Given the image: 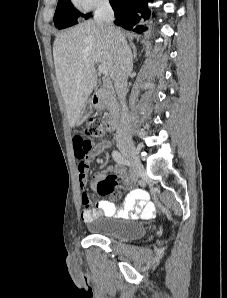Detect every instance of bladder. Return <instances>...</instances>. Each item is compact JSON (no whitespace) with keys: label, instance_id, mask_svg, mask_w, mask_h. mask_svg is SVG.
Here are the masks:
<instances>
[{"label":"bladder","instance_id":"31cf9c89","mask_svg":"<svg viewBox=\"0 0 227 298\" xmlns=\"http://www.w3.org/2000/svg\"><path fill=\"white\" fill-rule=\"evenodd\" d=\"M87 228L93 235L116 240H134L145 236L146 228L140 223L124 219L96 218Z\"/></svg>","mask_w":227,"mask_h":298}]
</instances>
